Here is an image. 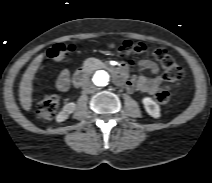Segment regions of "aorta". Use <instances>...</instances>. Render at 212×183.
I'll return each mask as SVG.
<instances>
[{"label": "aorta", "instance_id": "762f6f07", "mask_svg": "<svg viewBox=\"0 0 212 183\" xmlns=\"http://www.w3.org/2000/svg\"><path fill=\"white\" fill-rule=\"evenodd\" d=\"M89 81L93 83L96 88H104L110 81V74L106 70H97L91 74Z\"/></svg>", "mask_w": 212, "mask_h": 183}]
</instances>
